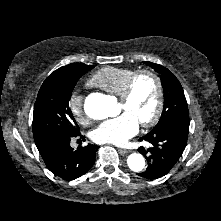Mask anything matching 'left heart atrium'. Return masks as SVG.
I'll return each mask as SVG.
<instances>
[{
    "label": "left heart atrium",
    "mask_w": 221,
    "mask_h": 221,
    "mask_svg": "<svg viewBox=\"0 0 221 221\" xmlns=\"http://www.w3.org/2000/svg\"><path fill=\"white\" fill-rule=\"evenodd\" d=\"M139 130L138 120L127 112L106 120L92 131V138L98 143L125 145Z\"/></svg>",
    "instance_id": "1"
}]
</instances>
